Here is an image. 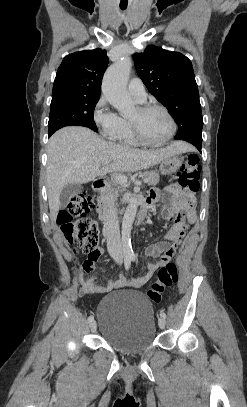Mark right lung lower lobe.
Returning <instances> with one entry per match:
<instances>
[{"label": "right lung lower lobe", "mask_w": 247, "mask_h": 407, "mask_svg": "<svg viewBox=\"0 0 247 407\" xmlns=\"http://www.w3.org/2000/svg\"><path fill=\"white\" fill-rule=\"evenodd\" d=\"M53 133H49V137L52 135Z\"/></svg>", "instance_id": "1"}]
</instances>
